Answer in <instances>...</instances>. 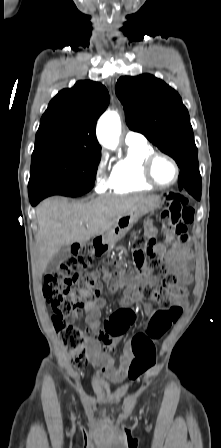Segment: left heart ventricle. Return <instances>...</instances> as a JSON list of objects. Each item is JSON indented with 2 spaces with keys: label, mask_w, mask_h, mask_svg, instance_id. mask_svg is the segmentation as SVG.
<instances>
[{
  "label": "left heart ventricle",
  "mask_w": 221,
  "mask_h": 448,
  "mask_svg": "<svg viewBox=\"0 0 221 448\" xmlns=\"http://www.w3.org/2000/svg\"><path fill=\"white\" fill-rule=\"evenodd\" d=\"M153 174L158 182L168 184L174 180L176 170L170 161L160 157L154 163Z\"/></svg>",
  "instance_id": "1"
}]
</instances>
